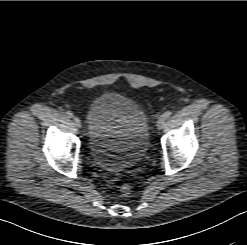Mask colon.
<instances>
[{"label": "colon", "instance_id": "5ec220e1", "mask_svg": "<svg viewBox=\"0 0 247 245\" xmlns=\"http://www.w3.org/2000/svg\"><path fill=\"white\" fill-rule=\"evenodd\" d=\"M132 188L129 184H123L120 188V192L123 196H129L131 194Z\"/></svg>", "mask_w": 247, "mask_h": 245}]
</instances>
